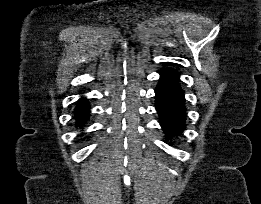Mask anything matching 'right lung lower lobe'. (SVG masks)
<instances>
[{"label": "right lung lower lobe", "instance_id": "obj_1", "mask_svg": "<svg viewBox=\"0 0 261 204\" xmlns=\"http://www.w3.org/2000/svg\"><path fill=\"white\" fill-rule=\"evenodd\" d=\"M75 119L84 121L89 118V102L87 99H80L75 109Z\"/></svg>", "mask_w": 261, "mask_h": 204}]
</instances>
